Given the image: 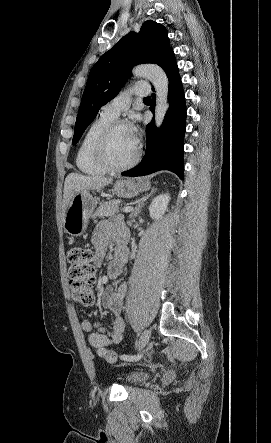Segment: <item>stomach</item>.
Masks as SVG:
<instances>
[{
	"mask_svg": "<svg viewBox=\"0 0 271 443\" xmlns=\"http://www.w3.org/2000/svg\"><path fill=\"white\" fill-rule=\"evenodd\" d=\"M150 188V182H143V180H117L112 192L118 198H134L140 192H147ZM94 208L95 198H92L87 190H79L77 194H74L65 210L64 229L66 233H70V235L85 233Z\"/></svg>",
	"mask_w": 271,
	"mask_h": 443,
	"instance_id": "obj_1",
	"label": "stomach"
}]
</instances>
